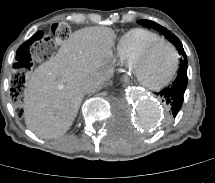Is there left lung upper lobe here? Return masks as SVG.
Wrapping results in <instances>:
<instances>
[{"mask_svg":"<svg viewBox=\"0 0 215 183\" xmlns=\"http://www.w3.org/2000/svg\"><path fill=\"white\" fill-rule=\"evenodd\" d=\"M139 24L145 25L149 28H154L156 29L158 32H160L162 35H164L171 43H173L179 54L181 55V60L180 63L185 62L187 63V57H186V53L183 49L182 43L180 42V40L174 35L172 34L169 30H167L166 28H164L163 26L153 22V21H149V20H139L137 21Z\"/></svg>","mask_w":215,"mask_h":183,"instance_id":"obj_1","label":"left lung upper lobe"}]
</instances>
